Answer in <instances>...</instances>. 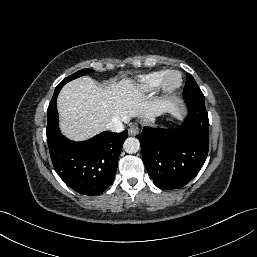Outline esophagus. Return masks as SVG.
Instances as JSON below:
<instances>
[{"label": "esophagus", "instance_id": "obj_1", "mask_svg": "<svg viewBox=\"0 0 257 257\" xmlns=\"http://www.w3.org/2000/svg\"><path fill=\"white\" fill-rule=\"evenodd\" d=\"M128 132H129V135H131V136L137 135L138 132H139V127H138V125H137V124H134V125L130 126Z\"/></svg>", "mask_w": 257, "mask_h": 257}]
</instances>
